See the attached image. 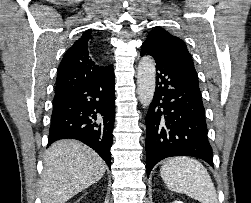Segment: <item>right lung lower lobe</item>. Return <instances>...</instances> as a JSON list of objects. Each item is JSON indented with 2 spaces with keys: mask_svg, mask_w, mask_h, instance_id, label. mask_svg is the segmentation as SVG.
Listing matches in <instances>:
<instances>
[{
  "mask_svg": "<svg viewBox=\"0 0 251 203\" xmlns=\"http://www.w3.org/2000/svg\"><path fill=\"white\" fill-rule=\"evenodd\" d=\"M113 67L99 78L53 100L48 146L60 139H77L93 148L111 167L115 121Z\"/></svg>",
  "mask_w": 251,
  "mask_h": 203,
  "instance_id": "obj_1",
  "label": "right lung lower lobe"
}]
</instances>
